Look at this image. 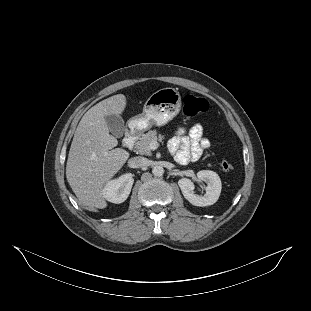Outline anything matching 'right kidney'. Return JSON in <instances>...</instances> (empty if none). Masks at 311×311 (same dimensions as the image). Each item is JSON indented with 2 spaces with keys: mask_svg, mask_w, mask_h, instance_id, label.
Segmentation results:
<instances>
[{
  "mask_svg": "<svg viewBox=\"0 0 311 311\" xmlns=\"http://www.w3.org/2000/svg\"><path fill=\"white\" fill-rule=\"evenodd\" d=\"M134 179L131 173L121 175L119 178L109 181L102 190L103 197L112 203L124 202L132 189Z\"/></svg>",
  "mask_w": 311,
  "mask_h": 311,
  "instance_id": "1",
  "label": "right kidney"
}]
</instances>
